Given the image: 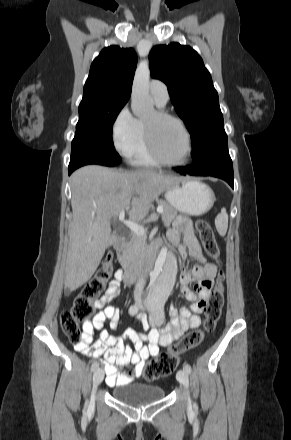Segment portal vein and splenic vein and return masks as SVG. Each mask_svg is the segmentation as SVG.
Instances as JSON below:
<instances>
[{
  "label": "portal vein and splenic vein",
  "instance_id": "portal-vein-and-splenic-vein-1",
  "mask_svg": "<svg viewBox=\"0 0 291 440\" xmlns=\"http://www.w3.org/2000/svg\"><path fill=\"white\" fill-rule=\"evenodd\" d=\"M157 211L159 213L163 212V207L159 206ZM125 210H121L119 213V221L122 222L124 225H126L132 232H134L137 235L143 236L145 234V229L143 226L133 222V221H127L125 220Z\"/></svg>",
  "mask_w": 291,
  "mask_h": 440
}]
</instances>
